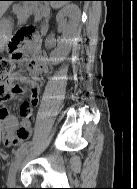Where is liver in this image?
Segmentation results:
<instances>
[{"instance_id":"1","label":"liver","mask_w":137,"mask_h":189,"mask_svg":"<svg viewBox=\"0 0 137 189\" xmlns=\"http://www.w3.org/2000/svg\"><path fill=\"white\" fill-rule=\"evenodd\" d=\"M10 4H11L10 1H0V18L5 13V11L8 9Z\"/></svg>"}]
</instances>
